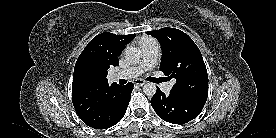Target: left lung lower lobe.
Instances as JSON below:
<instances>
[{
    "mask_svg": "<svg viewBox=\"0 0 276 138\" xmlns=\"http://www.w3.org/2000/svg\"><path fill=\"white\" fill-rule=\"evenodd\" d=\"M151 105L161 119L173 124H184L193 120L204 107V104L172 93L166 96L158 87L151 99Z\"/></svg>",
    "mask_w": 276,
    "mask_h": 138,
    "instance_id": "0a47b994",
    "label": "left lung lower lobe"
}]
</instances>
